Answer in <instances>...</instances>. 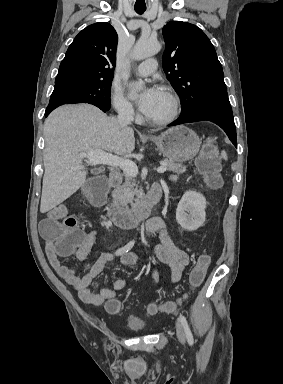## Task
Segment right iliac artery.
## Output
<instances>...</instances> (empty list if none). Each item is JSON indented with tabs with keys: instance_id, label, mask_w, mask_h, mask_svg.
<instances>
[{
	"instance_id": "1",
	"label": "right iliac artery",
	"mask_w": 283,
	"mask_h": 384,
	"mask_svg": "<svg viewBox=\"0 0 283 384\" xmlns=\"http://www.w3.org/2000/svg\"><path fill=\"white\" fill-rule=\"evenodd\" d=\"M134 243H135L134 240L130 241V242L127 243L124 247L119 248V249L115 252V254H116L117 256H119V255H122V254H124V253H127V252L134 246Z\"/></svg>"
}]
</instances>
